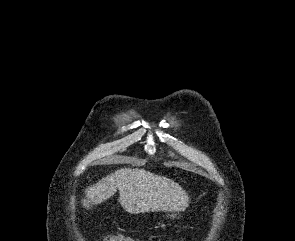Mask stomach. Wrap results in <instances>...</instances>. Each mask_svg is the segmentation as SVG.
Wrapping results in <instances>:
<instances>
[{
    "instance_id": "0dacf381",
    "label": "stomach",
    "mask_w": 295,
    "mask_h": 241,
    "mask_svg": "<svg viewBox=\"0 0 295 241\" xmlns=\"http://www.w3.org/2000/svg\"><path fill=\"white\" fill-rule=\"evenodd\" d=\"M170 217L174 218L175 217V214H171Z\"/></svg>"
}]
</instances>
